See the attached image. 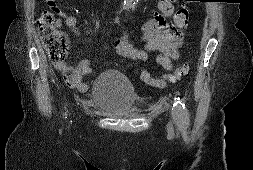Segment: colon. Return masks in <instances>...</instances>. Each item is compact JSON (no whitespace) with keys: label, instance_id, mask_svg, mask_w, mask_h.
Instances as JSON below:
<instances>
[{"label":"colon","instance_id":"colon-1","mask_svg":"<svg viewBox=\"0 0 253 170\" xmlns=\"http://www.w3.org/2000/svg\"><path fill=\"white\" fill-rule=\"evenodd\" d=\"M189 15L187 6L179 8L176 13L177 24L179 26H185L189 20ZM37 25L49 59L53 62H61L64 60L68 54L69 41L67 36L56 28L54 15L47 10L42 11ZM185 72L186 68L182 67L167 76L166 80L174 82ZM150 83L155 85L153 81H150Z\"/></svg>","mask_w":253,"mask_h":170}]
</instances>
